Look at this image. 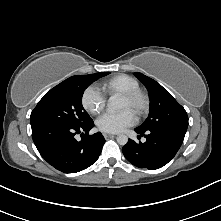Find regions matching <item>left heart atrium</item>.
Returning a JSON list of instances; mask_svg holds the SVG:
<instances>
[{"mask_svg": "<svg viewBox=\"0 0 221 221\" xmlns=\"http://www.w3.org/2000/svg\"><path fill=\"white\" fill-rule=\"evenodd\" d=\"M135 122L134 113L124 109L119 113H105L96 121L97 128L102 132L118 133Z\"/></svg>", "mask_w": 221, "mask_h": 221, "instance_id": "1", "label": "left heart atrium"}]
</instances>
